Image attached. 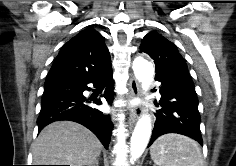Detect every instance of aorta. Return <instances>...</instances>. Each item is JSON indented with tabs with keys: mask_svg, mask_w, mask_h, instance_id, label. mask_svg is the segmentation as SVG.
<instances>
[{
	"mask_svg": "<svg viewBox=\"0 0 236 166\" xmlns=\"http://www.w3.org/2000/svg\"><path fill=\"white\" fill-rule=\"evenodd\" d=\"M133 71L142 85V89L147 92L153 80L154 68L148 60L137 57L133 61ZM151 136V118L143 115L137 122L132 133L130 142L131 161L138 159L144 152Z\"/></svg>",
	"mask_w": 236,
	"mask_h": 166,
	"instance_id": "762f6f07",
	"label": "aorta"
}]
</instances>
